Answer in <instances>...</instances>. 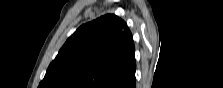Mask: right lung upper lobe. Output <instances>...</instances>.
Returning <instances> with one entry per match:
<instances>
[{
    "mask_svg": "<svg viewBox=\"0 0 223 88\" xmlns=\"http://www.w3.org/2000/svg\"><path fill=\"white\" fill-rule=\"evenodd\" d=\"M135 70L132 34L122 19L108 14L68 38L39 88H131Z\"/></svg>",
    "mask_w": 223,
    "mask_h": 88,
    "instance_id": "right-lung-upper-lobe-1",
    "label": "right lung upper lobe"
}]
</instances>
